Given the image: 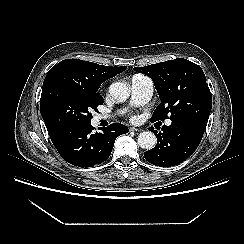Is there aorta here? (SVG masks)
<instances>
[{"label": "aorta", "mask_w": 244, "mask_h": 244, "mask_svg": "<svg viewBox=\"0 0 244 244\" xmlns=\"http://www.w3.org/2000/svg\"><path fill=\"white\" fill-rule=\"evenodd\" d=\"M109 93L114 100L121 103L130 96V88L126 83L115 82L110 85ZM156 143V136L151 131H144L138 135V145L143 149L150 150L155 147Z\"/></svg>", "instance_id": "762f6f07"}]
</instances>
